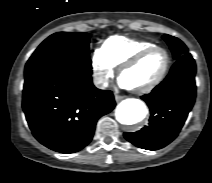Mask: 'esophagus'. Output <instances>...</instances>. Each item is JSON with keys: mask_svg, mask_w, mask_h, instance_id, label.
<instances>
[{"mask_svg": "<svg viewBox=\"0 0 212 183\" xmlns=\"http://www.w3.org/2000/svg\"><path fill=\"white\" fill-rule=\"evenodd\" d=\"M123 97L118 95V94H115V100L116 102H119Z\"/></svg>", "mask_w": 212, "mask_h": 183, "instance_id": "obj_1", "label": "esophagus"}]
</instances>
